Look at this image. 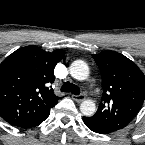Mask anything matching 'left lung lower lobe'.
Returning <instances> with one entry per match:
<instances>
[{
  "mask_svg": "<svg viewBox=\"0 0 145 145\" xmlns=\"http://www.w3.org/2000/svg\"><path fill=\"white\" fill-rule=\"evenodd\" d=\"M83 121L85 123V125L90 129L92 130L93 132H96V133H100V134H108V133H111V131L109 130H106L96 124H94L92 122V120L88 117H83Z\"/></svg>",
  "mask_w": 145,
  "mask_h": 145,
  "instance_id": "1",
  "label": "left lung lower lobe"
}]
</instances>
